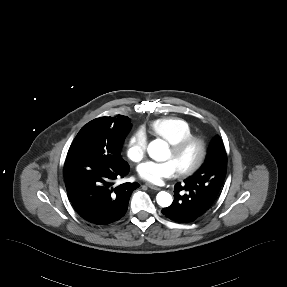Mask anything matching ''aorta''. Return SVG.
Instances as JSON below:
<instances>
[{"instance_id": "1", "label": "aorta", "mask_w": 287, "mask_h": 287, "mask_svg": "<svg viewBox=\"0 0 287 287\" xmlns=\"http://www.w3.org/2000/svg\"><path fill=\"white\" fill-rule=\"evenodd\" d=\"M168 150V144L161 140L156 139L149 143L147 147V152L149 156L156 161L165 160L166 151ZM156 201L161 207H168L172 204V196L166 192L161 191L156 196Z\"/></svg>"}]
</instances>
